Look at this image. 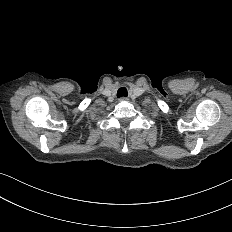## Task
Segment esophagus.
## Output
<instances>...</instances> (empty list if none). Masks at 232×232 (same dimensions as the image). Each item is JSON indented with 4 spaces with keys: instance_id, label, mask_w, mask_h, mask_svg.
I'll use <instances>...</instances> for the list:
<instances>
[{
    "instance_id": "esophagus-1",
    "label": "esophagus",
    "mask_w": 232,
    "mask_h": 232,
    "mask_svg": "<svg viewBox=\"0 0 232 232\" xmlns=\"http://www.w3.org/2000/svg\"><path fill=\"white\" fill-rule=\"evenodd\" d=\"M120 102H128L129 99L128 98H125V97H122L119 99Z\"/></svg>"
}]
</instances>
